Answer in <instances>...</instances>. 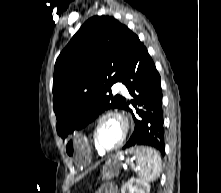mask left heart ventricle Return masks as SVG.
<instances>
[{
  "label": "left heart ventricle",
  "instance_id": "obj_1",
  "mask_svg": "<svg viewBox=\"0 0 221 193\" xmlns=\"http://www.w3.org/2000/svg\"><path fill=\"white\" fill-rule=\"evenodd\" d=\"M121 135V126L114 119H106L98 129V141L106 148L114 146Z\"/></svg>",
  "mask_w": 221,
  "mask_h": 193
}]
</instances>
